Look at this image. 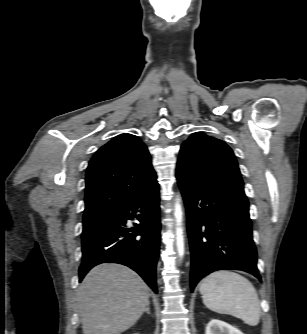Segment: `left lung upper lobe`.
<instances>
[{"instance_id": "1", "label": "left lung upper lobe", "mask_w": 307, "mask_h": 334, "mask_svg": "<svg viewBox=\"0 0 307 334\" xmlns=\"http://www.w3.org/2000/svg\"><path fill=\"white\" fill-rule=\"evenodd\" d=\"M177 173L244 192V183L233 151L222 140L203 132L193 133L183 142Z\"/></svg>"}]
</instances>
